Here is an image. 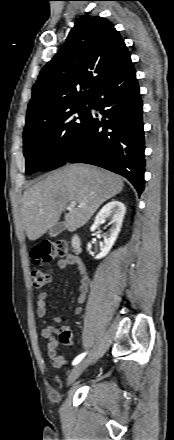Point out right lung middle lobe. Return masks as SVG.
I'll return each mask as SVG.
<instances>
[{"mask_svg": "<svg viewBox=\"0 0 174 440\" xmlns=\"http://www.w3.org/2000/svg\"><path fill=\"white\" fill-rule=\"evenodd\" d=\"M89 103L81 101L23 132L26 174L53 170L66 162L73 144L86 129Z\"/></svg>", "mask_w": 174, "mask_h": 440, "instance_id": "obj_1", "label": "right lung middle lobe"}]
</instances>
